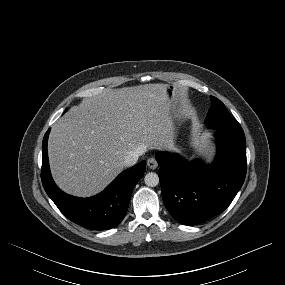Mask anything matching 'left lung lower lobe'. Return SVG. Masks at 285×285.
Wrapping results in <instances>:
<instances>
[{"instance_id":"1","label":"left lung lower lobe","mask_w":285,"mask_h":285,"mask_svg":"<svg viewBox=\"0 0 285 285\" xmlns=\"http://www.w3.org/2000/svg\"><path fill=\"white\" fill-rule=\"evenodd\" d=\"M214 129L218 153L210 166L189 163L176 154H156L164 204L184 225L202 223L224 211L245 180L246 140L242 128Z\"/></svg>"}]
</instances>
